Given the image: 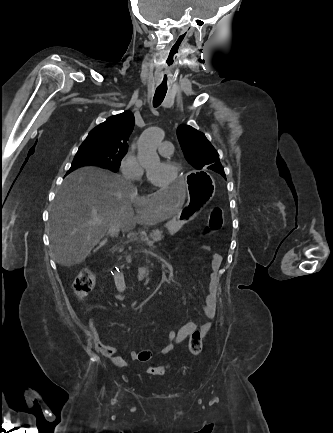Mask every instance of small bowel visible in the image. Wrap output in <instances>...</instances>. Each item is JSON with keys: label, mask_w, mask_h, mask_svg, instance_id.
Segmentation results:
<instances>
[{"label": "small bowel", "mask_w": 333, "mask_h": 433, "mask_svg": "<svg viewBox=\"0 0 333 433\" xmlns=\"http://www.w3.org/2000/svg\"><path fill=\"white\" fill-rule=\"evenodd\" d=\"M206 250H209L208 247H205ZM222 262V256L218 253H213L211 256V271L212 274H216L220 268ZM124 298V294H119L118 299L122 300ZM216 310V293L213 289L208 288L204 305L202 307L203 316L208 320L206 323L197 324L195 322H188L184 326H182L177 331H170L166 337V343L163 348L160 350L161 354H168L174 348L175 343H181L194 331H199L202 336H205L211 328L210 320L215 316ZM88 335L91 338L95 349L101 353L106 358L110 359L114 364L121 366L124 364L123 359L119 356H116V349L112 346L104 344L100 335L97 331V328L94 324L93 320L89 321ZM154 356V353L150 349H144L141 351H131L130 357L132 360H139L141 362H149Z\"/></svg>", "instance_id": "c3829d8e"}]
</instances>
